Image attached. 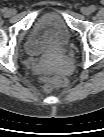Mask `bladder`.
<instances>
[{"mask_svg":"<svg viewBox=\"0 0 104 137\" xmlns=\"http://www.w3.org/2000/svg\"><path fill=\"white\" fill-rule=\"evenodd\" d=\"M71 30L61 14L50 10L43 13L31 29L24 50L29 56H45L63 50L69 43Z\"/></svg>","mask_w":104,"mask_h":137,"instance_id":"bladder-1","label":"bladder"}]
</instances>
